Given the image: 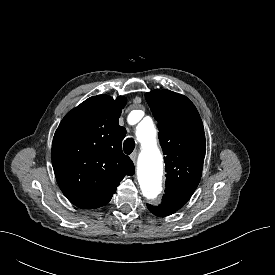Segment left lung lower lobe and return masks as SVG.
Returning <instances> with one entry per match:
<instances>
[{
	"mask_svg": "<svg viewBox=\"0 0 275 275\" xmlns=\"http://www.w3.org/2000/svg\"><path fill=\"white\" fill-rule=\"evenodd\" d=\"M190 198L189 197H164L158 207L147 204L148 209L157 216H168L175 213Z\"/></svg>",
	"mask_w": 275,
	"mask_h": 275,
	"instance_id": "obj_1",
	"label": "left lung lower lobe"
}]
</instances>
